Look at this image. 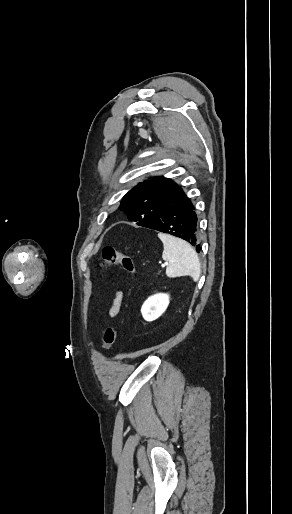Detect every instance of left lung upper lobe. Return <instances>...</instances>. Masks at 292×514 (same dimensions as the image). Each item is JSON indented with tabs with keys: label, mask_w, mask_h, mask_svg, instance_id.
<instances>
[{
	"label": "left lung upper lobe",
	"mask_w": 292,
	"mask_h": 514,
	"mask_svg": "<svg viewBox=\"0 0 292 514\" xmlns=\"http://www.w3.org/2000/svg\"><path fill=\"white\" fill-rule=\"evenodd\" d=\"M180 187L171 179L157 176L138 183L122 199L120 210H124L130 221L146 226L162 211L166 202Z\"/></svg>",
	"instance_id": "5c2ea615"
}]
</instances>
